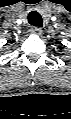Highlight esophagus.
<instances>
[{"label":"esophagus","instance_id":"obj_1","mask_svg":"<svg viewBox=\"0 0 71 119\" xmlns=\"http://www.w3.org/2000/svg\"><path fill=\"white\" fill-rule=\"evenodd\" d=\"M30 33L33 35H40L42 33V29L40 27H31Z\"/></svg>","mask_w":71,"mask_h":119}]
</instances>
